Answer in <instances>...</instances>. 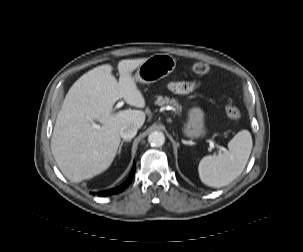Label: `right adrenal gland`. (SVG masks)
<instances>
[{"label": "right adrenal gland", "instance_id": "1", "mask_svg": "<svg viewBox=\"0 0 303 252\" xmlns=\"http://www.w3.org/2000/svg\"><path fill=\"white\" fill-rule=\"evenodd\" d=\"M124 142H130V140H123L119 146V150H118V153H121V150H122V146L124 144Z\"/></svg>", "mask_w": 303, "mask_h": 252}]
</instances>
